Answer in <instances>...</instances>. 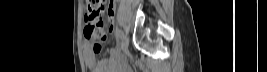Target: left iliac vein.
<instances>
[{
    "label": "left iliac vein",
    "mask_w": 267,
    "mask_h": 72,
    "mask_svg": "<svg viewBox=\"0 0 267 72\" xmlns=\"http://www.w3.org/2000/svg\"><path fill=\"white\" fill-rule=\"evenodd\" d=\"M129 46V39L127 36H123L122 43H121V48L124 54H126Z\"/></svg>",
    "instance_id": "obj_1"
}]
</instances>
